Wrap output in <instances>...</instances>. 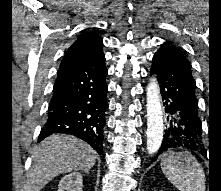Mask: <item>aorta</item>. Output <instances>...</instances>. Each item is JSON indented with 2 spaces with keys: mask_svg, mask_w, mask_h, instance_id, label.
Masks as SVG:
<instances>
[{
  "mask_svg": "<svg viewBox=\"0 0 221 191\" xmlns=\"http://www.w3.org/2000/svg\"><path fill=\"white\" fill-rule=\"evenodd\" d=\"M147 150L157 152L163 140V113L160 88L156 77H151L147 86Z\"/></svg>",
  "mask_w": 221,
  "mask_h": 191,
  "instance_id": "obj_1",
  "label": "aorta"
}]
</instances>
